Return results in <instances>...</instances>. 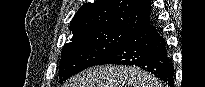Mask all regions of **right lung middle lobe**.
Wrapping results in <instances>:
<instances>
[{
  "label": "right lung middle lobe",
  "instance_id": "right-lung-middle-lobe-1",
  "mask_svg": "<svg viewBox=\"0 0 205 87\" xmlns=\"http://www.w3.org/2000/svg\"><path fill=\"white\" fill-rule=\"evenodd\" d=\"M131 34L121 30H96L74 36L62 49L59 66L60 83L93 66Z\"/></svg>",
  "mask_w": 205,
  "mask_h": 87
}]
</instances>
